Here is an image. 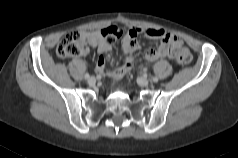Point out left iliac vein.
Masks as SVG:
<instances>
[{
  "label": "left iliac vein",
  "mask_w": 238,
  "mask_h": 158,
  "mask_svg": "<svg viewBox=\"0 0 238 158\" xmlns=\"http://www.w3.org/2000/svg\"><path fill=\"white\" fill-rule=\"evenodd\" d=\"M138 84L140 86H147L149 84V80L147 78H139L138 79Z\"/></svg>",
  "instance_id": "obj_1"
}]
</instances>
